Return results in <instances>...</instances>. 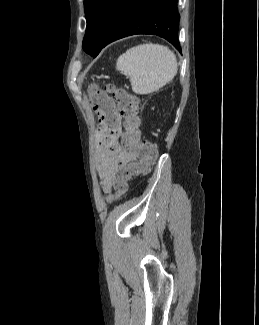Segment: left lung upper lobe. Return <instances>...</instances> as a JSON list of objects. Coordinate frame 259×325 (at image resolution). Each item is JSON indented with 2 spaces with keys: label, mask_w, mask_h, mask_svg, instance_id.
<instances>
[{
  "label": "left lung upper lobe",
  "mask_w": 259,
  "mask_h": 325,
  "mask_svg": "<svg viewBox=\"0 0 259 325\" xmlns=\"http://www.w3.org/2000/svg\"><path fill=\"white\" fill-rule=\"evenodd\" d=\"M122 0H84L87 28L83 49L96 57L102 49L107 27Z\"/></svg>",
  "instance_id": "obj_1"
}]
</instances>
